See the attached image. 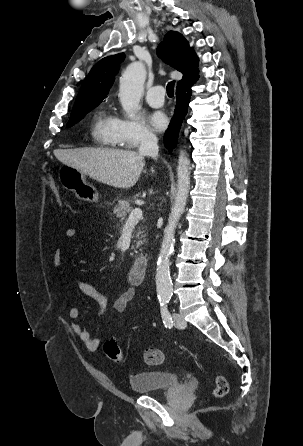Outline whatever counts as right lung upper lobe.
I'll list each match as a JSON object with an SVG mask.
<instances>
[{
	"label": "right lung upper lobe",
	"mask_w": 303,
	"mask_h": 446,
	"mask_svg": "<svg viewBox=\"0 0 303 446\" xmlns=\"http://www.w3.org/2000/svg\"><path fill=\"white\" fill-rule=\"evenodd\" d=\"M157 54L165 63L183 74V78L177 83V87L198 78V58L179 32L169 31L165 35L164 41L159 44ZM124 58L125 55L119 53L103 58L93 66L82 84L72 111L99 105L107 95Z\"/></svg>",
	"instance_id": "right-lung-upper-lobe-1"
}]
</instances>
